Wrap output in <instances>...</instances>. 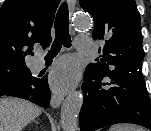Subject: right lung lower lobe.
Wrapping results in <instances>:
<instances>
[{
	"label": "right lung lower lobe",
	"mask_w": 151,
	"mask_h": 131,
	"mask_svg": "<svg viewBox=\"0 0 151 131\" xmlns=\"http://www.w3.org/2000/svg\"><path fill=\"white\" fill-rule=\"evenodd\" d=\"M0 96L23 98L47 108L50 105L51 92L46 77L40 79L30 75L14 84L0 88Z\"/></svg>",
	"instance_id": "right-lung-lower-lobe-1"
}]
</instances>
